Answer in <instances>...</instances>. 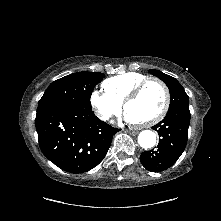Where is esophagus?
<instances>
[{"label": "esophagus", "mask_w": 221, "mask_h": 221, "mask_svg": "<svg viewBox=\"0 0 221 221\" xmlns=\"http://www.w3.org/2000/svg\"><path fill=\"white\" fill-rule=\"evenodd\" d=\"M127 133H129L130 135H136L137 131H133V130H126Z\"/></svg>", "instance_id": "esophagus-1"}]
</instances>
